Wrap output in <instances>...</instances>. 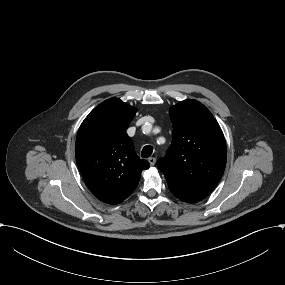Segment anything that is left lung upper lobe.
I'll use <instances>...</instances> for the list:
<instances>
[{
    "mask_svg": "<svg viewBox=\"0 0 285 285\" xmlns=\"http://www.w3.org/2000/svg\"><path fill=\"white\" fill-rule=\"evenodd\" d=\"M171 147L157 162L170 191L195 203L211 193L223 175L227 152L223 132L200 102L187 99L170 109Z\"/></svg>",
    "mask_w": 285,
    "mask_h": 285,
    "instance_id": "1",
    "label": "left lung upper lobe"
}]
</instances>
